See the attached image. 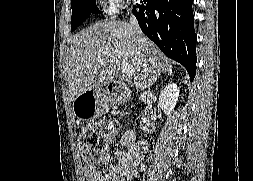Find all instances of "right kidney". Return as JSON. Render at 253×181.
<instances>
[{
    "instance_id": "obj_1",
    "label": "right kidney",
    "mask_w": 253,
    "mask_h": 181,
    "mask_svg": "<svg viewBox=\"0 0 253 181\" xmlns=\"http://www.w3.org/2000/svg\"><path fill=\"white\" fill-rule=\"evenodd\" d=\"M178 89L177 84L170 83L160 92L159 95V106L169 118L171 117V113L178 100Z\"/></svg>"
}]
</instances>
